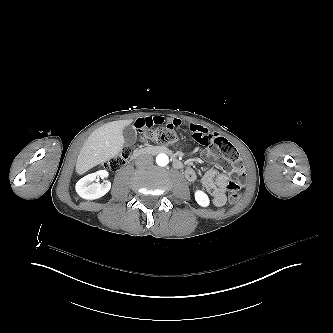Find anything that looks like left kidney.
Wrapping results in <instances>:
<instances>
[{"label": "left kidney", "instance_id": "5707ae66", "mask_svg": "<svg viewBox=\"0 0 333 333\" xmlns=\"http://www.w3.org/2000/svg\"><path fill=\"white\" fill-rule=\"evenodd\" d=\"M194 198L196 203L201 207L207 208L211 204L208 194L201 189H196L194 191Z\"/></svg>", "mask_w": 333, "mask_h": 333}]
</instances>
